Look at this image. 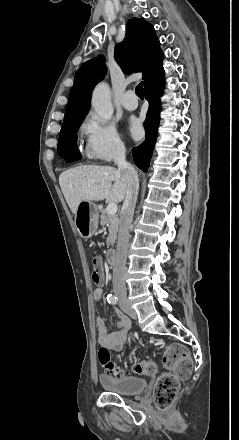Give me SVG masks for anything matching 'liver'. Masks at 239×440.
I'll use <instances>...</instances> for the list:
<instances>
[{"mask_svg": "<svg viewBox=\"0 0 239 440\" xmlns=\"http://www.w3.org/2000/svg\"><path fill=\"white\" fill-rule=\"evenodd\" d=\"M112 182H115L112 186ZM60 188L73 214L80 202H122L126 196L121 172L111 166H78L62 172Z\"/></svg>", "mask_w": 239, "mask_h": 440, "instance_id": "1", "label": "liver"}]
</instances>
